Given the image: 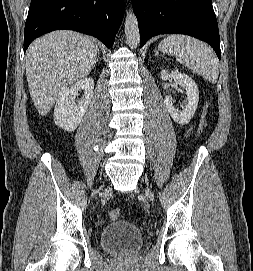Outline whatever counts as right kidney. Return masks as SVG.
I'll return each instance as SVG.
<instances>
[{
    "instance_id": "ca27d5eb",
    "label": "right kidney",
    "mask_w": 253,
    "mask_h": 271,
    "mask_svg": "<svg viewBox=\"0 0 253 271\" xmlns=\"http://www.w3.org/2000/svg\"><path fill=\"white\" fill-rule=\"evenodd\" d=\"M94 80L84 78L62 92L54 108V122L65 131H74L82 121L93 97ZM84 91V98L76 103L78 92Z\"/></svg>"
}]
</instances>
